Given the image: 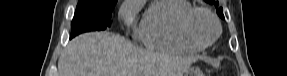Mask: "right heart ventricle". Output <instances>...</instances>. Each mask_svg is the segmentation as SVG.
<instances>
[{
	"instance_id": "right-heart-ventricle-1",
	"label": "right heart ventricle",
	"mask_w": 287,
	"mask_h": 76,
	"mask_svg": "<svg viewBox=\"0 0 287 76\" xmlns=\"http://www.w3.org/2000/svg\"><path fill=\"white\" fill-rule=\"evenodd\" d=\"M192 8L187 0H159L145 12L136 30L137 39L147 48L173 53H196L201 48L187 40L182 19Z\"/></svg>"
}]
</instances>
